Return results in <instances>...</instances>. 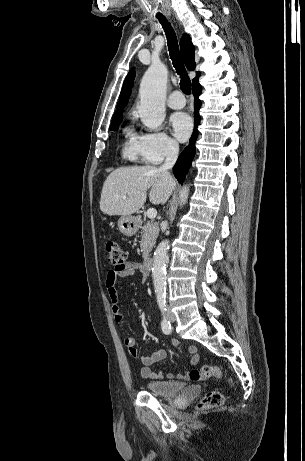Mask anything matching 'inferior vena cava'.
Segmentation results:
<instances>
[{
	"instance_id": "obj_1",
	"label": "inferior vena cava",
	"mask_w": 305,
	"mask_h": 461,
	"mask_svg": "<svg viewBox=\"0 0 305 461\" xmlns=\"http://www.w3.org/2000/svg\"><path fill=\"white\" fill-rule=\"evenodd\" d=\"M178 154H179V145L177 143L167 144L166 149H165L166 159H165L164 164L160 166L159 170L164 172L167 175H170L169 169H171L176 163Z\"/></svg>"
}]
</instances>
